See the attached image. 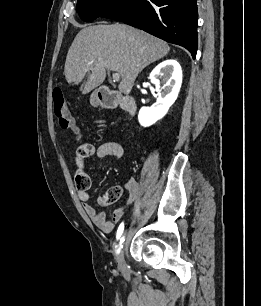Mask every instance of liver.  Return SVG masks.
<instances>
[{
    "instance_id": "1",
    "label": "liver",
    "mask_w": 261,
    "mask_h": 306,
    "mask_svg": "<svg viewBox=\"0 0 261 306\" xmlns=\"http://www.w3.org/2000/svg\"><path fill=\"white\" fill-rule=\"evenodd\" d=\"M169 51L166 42L124 24L89 26L69 48L64 75L69 84L78 85L91 71L82 91L87 94L104 82L106 70L115 71L121 76L119 91L127 95L138 74Z\"/></svg>"
}]
</instances>
